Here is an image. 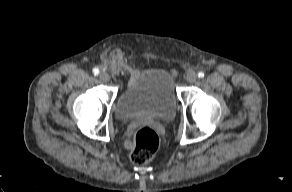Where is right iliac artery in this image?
I'll list each match as a JSON object with an SVG mask.
<instances>
[{
	"label": "right iliac artery",
	"instance_id": "82829eb1",
	"mask_svg": "<svg viewBox=\"0 0 292 192\" xmlns=\"http://www.w3.org/2000/svg\"><path fill=\"white\" fill-rule=\"evenodd\" d=\"M93 73H94V75H98L99 74V69L98 68H94L93 69Z\"/></svg>",
	"mask_w": 292,
	"mask_h": 192
}]
</instances>
